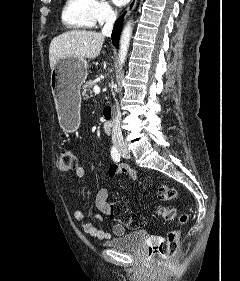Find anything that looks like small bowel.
<instances>
[{"mask_svg":"<svg viewBox=\"0 0 240 281\" xmlns=\"http://www.w3.org/2000/svg\"><path fill=\"white\" fill-rule=\"evenodd\" d=\"M108 174L110 177H116L121 174H127L129 178L134 182L137 181L138 177L136 171L128 167L127 165H112L109 168ZM75 175L78 178H82L85 175V168L81 165L77 166L75 169ZM108 196L109 187L101 188L96 195L95 205L98 211L100 212V215H98L97 218L101 221L103 220L104 216L108 217L109 215L110 202L108 200ZM72 216L77 221H83L84 219L83 211L78 206L73 209ZM81 228L86 234L95 239H106L109 237L108 232L95 227L89 222H82ZM112 232L117 236H121L125 233V227L122 224H115L112 228Z\"/></svg>","mask_w":240,"mask_h":281,"instance_id":"obj_1","label":"small bowel"}]
</instances>
